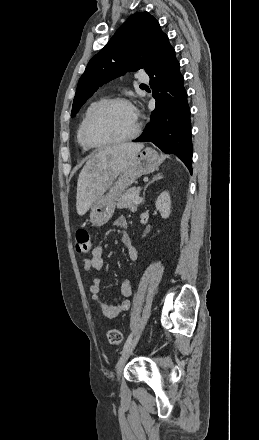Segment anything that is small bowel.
<instances>
[{
    "label": "small bowel",
    "mask_w": 259,
    "mask_h": 440,
    "mask_svg": "<svg viewBox=\"0 0 259 440\" xmlns=\"http://www.w3.org/2000/svg\"><path fill=\"white\" fill-rule=\"evenodd\" d=\"M115 225L119 228H126L127 220L121 216L115 220ZM121 241L126 249L129 260L135 261L138 257V252L132 244L130 237L124 233ZM104 267L103 248L96 246L91 253L90 258H85L82 261L81 269L84 273H92L93 271H101ZM100 279L96 275H92V284L89 288L90 298L95 301L101 310L102 314L109 319L115 318L127 311L130 307L129 297L133 291V279L126 277L121 283V293L124 299L116 304H109L99 297Z\"/></svg>",
    "instance_id": "c3829d8e"
}]
</instances>
